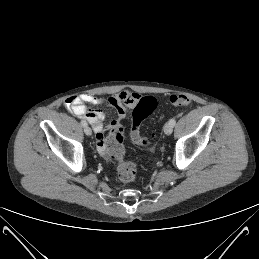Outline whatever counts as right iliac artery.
<instances>
[{"mask_svg":"<svg viewBox=\"0 0 259 259\" xmlns=\"http://www.w3.org/2000/svg\"><path fill=\"white\" fill-rule=\"evenodd\" d=\"M81 125H82L83 127H85V126H87V122H86L85 120H82V121H81Z\"/></svg>","mask_w":259,"mask_h":259,"instance_id":"82829eb1","label":"right iliac artery"}]
</instances>
